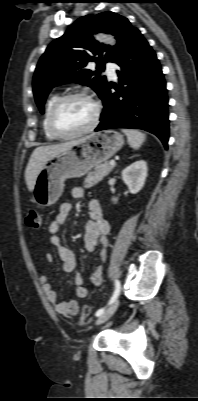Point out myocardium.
<instances>
[{"label": "myocardium", "instance_id": "f54148a6", "mask_svg": "<svg viewBox=\"0 0 198 401\" xmlns=\"http://www.w3.org/2000/svg\"><path fill=\"white\" fill-rule=\"evenodd\" d=\"M76 98H82V99L88 100L89 102H91L93 104V106H94L93 120H92L91 124L83 130H80V131L74 132V133H68V134L61 133L57 130V128L55 127V124H54L55 114H56L57 110L59 109V107L63 103H65L68 100L76 99ZM100 117H101V104L95 97H93L92 95H90L86 92H72V93H68V94L58 97L56 99V101L52 104V106L48 112V116H47V127H48V130L51 133V135L53 137H55L56 139L68 140V139H73V138L83 136V135L88 134L91 131H93L99 124Z\"/></svg>", "mask_w": 198, "mask_h": 401}]
</instances>
